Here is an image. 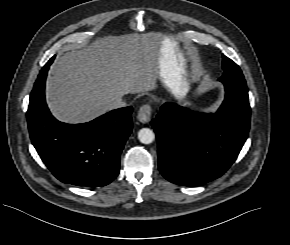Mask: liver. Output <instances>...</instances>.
<instances>
[{
  "label": "liver",
  "mask_w": 290,
  "mask_h": 245,
  "mask_svg": "<svg viewBox=\"0 0 290 245\" xmlns=\"http://www.w3.org/2000/svg\"><path fill=\"white\" fill-rule=\"evenodd\" d=\"M185 72L172 38L106 36L56 60L46 83L47 104L60 121L87 122L114 109L118 97L154 89L157 79L175 96L186 94Z\"/></svg>",
  "instance_id": "liver-1"
}]
</instances>
